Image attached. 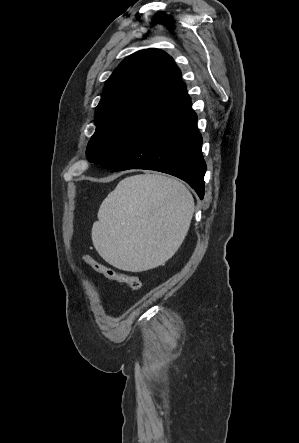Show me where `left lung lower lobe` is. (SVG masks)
Segmentation results:
<instances>
[{"mask_svg":"<svg viewBox=\"0 0 299 443\" xmlns=\"http://www.w3.org/2000/svg\"><path fill=\"white\" fill-rule=\"evenodd\" d=\"M202 136L187 90L156 120L111 168L155 170L186 181L204 196L206 164L201 153Z\"/></svg>","mask_w":299,"mask_h":443,"instance_id":"0a47b994","label":"left lung lower lobe"}]
</instances>
